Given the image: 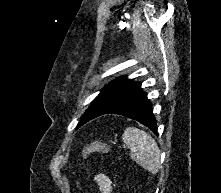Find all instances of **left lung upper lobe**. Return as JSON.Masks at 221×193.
I'll return each instance as SVG.
<instances>
[{"mask_svg": "<svg viewBox=\"0 0 221 193\" xmlns=\"http://www.w3.org/2000/svg\"><path fill=\"white\" fill-rule=\"evenodd\" d=\"M132 83L133 81L126 77H121L110 82L102 89L100 94L92 102L91 106L82 115L78 126H81L90 119L100 116L104 110L122 93V91Z\"/></svg>", "mask_w": 221, "mask_h": 193, "instance_id": "obj_1", "label": "left lung upper lobe"}]
</instances>
